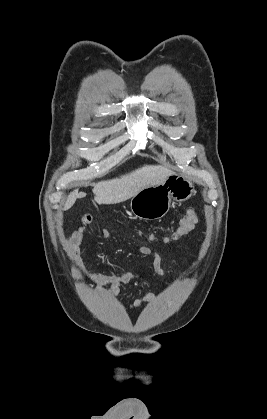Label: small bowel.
<instances>
[{
    "instance_id": "c3829d8e",
    "label": "small bowel",
    "mask_w": 267,
    "mask_h": 419,
    "mask_svg": "<svg viewBox=\"0 0 267 419\" xmlns=\"http://www.w3.org/2000/svg\"><path fill=\"white\" fill-rule=\"evenodd\" d=\"M93 220L92 215L86 214L81 219V224L79 227L71 231L67 237V248L70 259L76 264L83 276L88 280L100 284L107 285L105 295L108 297H117L120 293V287L122 285L128 284L134 280H142L152 276H162L164 275L163 260L158 253H153L150 248L147 246H141L139 248V253L144 257H152L151 267L147 274H140L133 272L131 270H126L120 273L108 271L107 273L101 272H90L85 269L84 263L79 255V247L83 241L84 233L86 231L87 225L90 224ZM110 233L108 230L104 229L101 231V238H109ZM155 300V295L148 293L142 298L136 299L131 302V305L134 307H140L144 304L151 303Z\"/></svg>"
}]
</instances>
